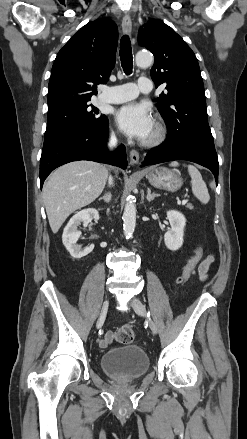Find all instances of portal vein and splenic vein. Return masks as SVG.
I'll use <instances>...</instances> for the list:
<instances>
[{
	"instance_id": "1",
	"label": "portal vein and splenic vein",
	"mask_w": 247,
	"mask_h": 439,
	"mask_svg": "<svg viewBox=\"0 0 247 439\" xmlns=\"http://www.w3.org/2000/svg\"><path fill=\"white\" fill-rule=\"evenodd\" d=\"M187 203V200H182V205H185Z\"/></svg>"
}]
</instances>
